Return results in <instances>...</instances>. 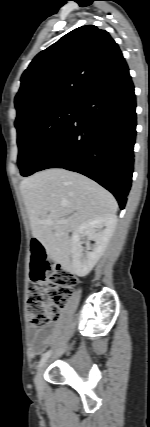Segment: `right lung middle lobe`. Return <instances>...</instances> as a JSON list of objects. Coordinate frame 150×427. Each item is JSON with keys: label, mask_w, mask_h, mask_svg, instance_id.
<instances>
[{"label": "right lung middle lobe", "mask_w": 150, "mask_h": 427, "mask_svg": "<svg viewBox=\"0 0 150 427\" xmlns=\"http://www.w3.org/2000/svg\"><path fill=\"white\" fill-rule=\"evenodd\" d=\"M76 110L75 105H53L35 109L15 121L22 176L36 172L73 121Z\"/></svg>", "instance_id": "dd1d6c3e"}]
</instances>
